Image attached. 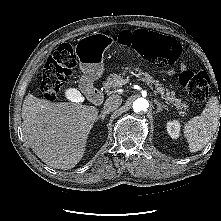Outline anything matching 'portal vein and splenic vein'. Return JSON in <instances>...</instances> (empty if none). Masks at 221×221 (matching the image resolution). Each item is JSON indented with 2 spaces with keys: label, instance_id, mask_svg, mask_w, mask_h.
<instances>
[{
  "label": "portal vein and splenic vein",
  "instance_id": "portal-vein-and-splenic-vein-1",
  "mask_svg": "<svg viewBox=\"0 0 221 221\" xmlns=\"http://www.w3.org/2000/svg\"><path fill=\"white\" fill-rule=\"evenodd\" d=\"M129 79H126L125 81H124V84H126V83H129ZM74 102H76V101H74Z\"/></svg>",
  "mask_w": 221,
  "mask_h": 221
}]
</instances>
